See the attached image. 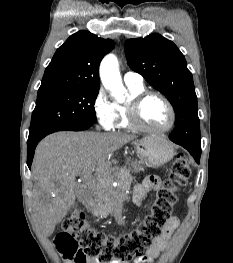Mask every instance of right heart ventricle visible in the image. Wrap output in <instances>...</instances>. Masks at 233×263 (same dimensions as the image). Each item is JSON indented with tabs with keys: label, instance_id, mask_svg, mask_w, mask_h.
Listing matches in <instances>:
<instances>
[{
	"label": "right heart ventricle",
	"instance_id": "obj_1",
	"mask_svg": "<svg viewBox=\"0 0 233 263\" xmlns=\"http://www.w3.org/2000/svg\"><path fill=\"white\" fill-rule=\"evenodd\" d=\"M127 87H128V92H129L127 102L124 104H121L118 102L114 103V108H115V111L118 117L116 128H119V129L131 128L129 121H128V116H127V106L135 95L145 90L144 85L127 84Z\"/></svg>",
	"mask_w": 233,
	"mask_h": 263
}]
</instances>
